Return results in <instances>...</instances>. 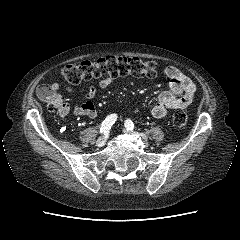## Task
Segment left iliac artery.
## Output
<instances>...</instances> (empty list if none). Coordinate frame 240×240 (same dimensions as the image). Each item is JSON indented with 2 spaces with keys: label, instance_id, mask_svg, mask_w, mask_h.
<instances>
[{
  "label": "left iliac artery",
  "instance_id": "44dca946",
  "mask_svg": "<svg viewBox=\"0 0 240 240\" xmlns=\"http://www.w3.org/2000/svg\"><path fill=\"white\" fill-rule=\"evenodd\" d=\"M124 125L126 127L127 130H133L134 129V123L132 122V120L130 119H127L125 122H124Z\"/></svg>",
  "mask_w": 240,
  "mask_h": 240
}]
</instances>
